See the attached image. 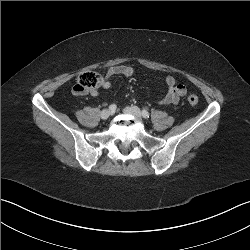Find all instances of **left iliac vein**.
Segmentation results:
<instances>
[{
  "label": "left iliac vein",
  "instance_id": "1",
  "mask_svg": "<svg viewBox=\"0 0 250 250\" xmlns=\"http://www.w3.org/2000/svg\"><path fill=\"white\" fill-rule=\"evenodd\" d=\"M123 112L125 114L133 115V116L137 117L138 119L142 118V113H141L140 109L136 106L126 107V108H124Z\"/></svg>",
  "mask_w": 250,
  "mask_h": 250
}]
</instances>
